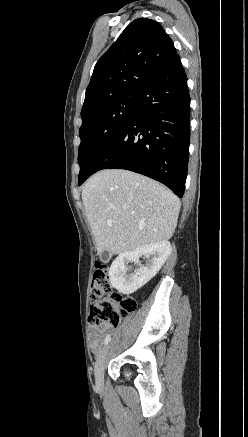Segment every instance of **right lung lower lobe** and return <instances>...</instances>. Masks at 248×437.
Wrapping results in <instances>:
<instances>
[{"label": "right lung lower lobe", "mask_w": 248, "mask_h": 437, "mask_svg": "<svg viewBox=\"0 0 248 437\" xmlns=\"http://www.w3.org/2000/svg\"><path fill=\"white\" fill-rule=\"evenodd\" d=\"M190 139V96L177 55L136 97L118 133L95 157L89 172L126 169L153 178L178 197L185 190Z\"/></svg>", "instance_id": "1"}]
</instances>
